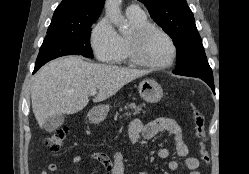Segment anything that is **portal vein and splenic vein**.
Instances as JSON below:
<instances>
[{
    "label": "portal vein and splenic vein",
    "mask_w": 249,
    "mask_h": 174,
    "mask_svg": "<svg viewBox=\"0 0 249 174\" xmlns=\"http://www.w3.org/2000/svg\"><path fill=\"white\" fill-rule=\"evenodd\" d=\"M96 93H97V91H96V90H92V91H90V95H92V96L96 95Z\"/></svg>",
    "instance_id": "obj_1"
}]
</instances>
